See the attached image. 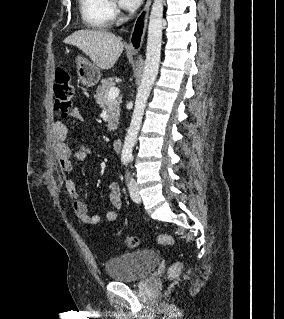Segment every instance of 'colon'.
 <instances>
[{
  "label": "colon",
  "instance_id": "colon-1",
  "mask_svg": "<svg viewBox=\"0 0 284 319\" xmlns=\"http://www.w3.org/2000/svg\"><path fill=\"white\" fill-rule=\"evenodd\" d=\"M54 95H55V109L57 112L66 117L72 109L75 97L74 87L71 82L70 75L62 68H58L55 74L54 81ZM157 242L160 245L173 246L175 245L174 238L169 234H159L157 236ZM124 244L128 248H136L139 244V240L136 237H126ZM182 265L180 262L172 264L168 270V277L174 280L178 277L181 271Z\"/></svg>",
  "mask_w": 284,
  "mask_h": 319
}]
</instances>
